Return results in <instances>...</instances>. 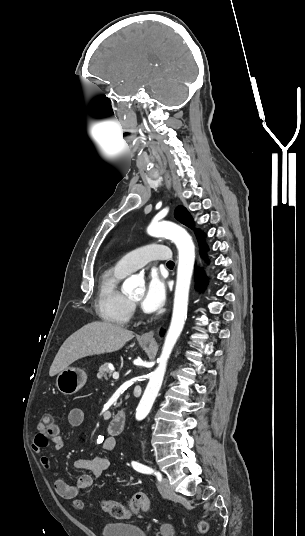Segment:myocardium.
Here are the masks:
<instances>
[{
	"instance_id": "obj_1",
	"label": "myocardium",
	"mask_w": 305,
	"mask_h": 536,
	"mask_svg": "<svg viewBox=\"0 0 305 536\" xmlns=\"http://www.w3.org/2000/svg\"><path fill=\"white\" fill-rule=\"evenodd\" d=\"M129 301H130V303H131L132 305H136V304H137V301H134V300H132V299H130Z\"/></svg>"
}]
</instances>
